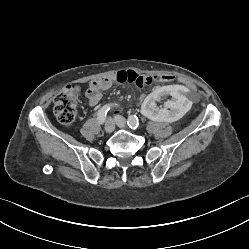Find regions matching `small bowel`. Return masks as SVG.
Masks as SVG:
<instances>
[{
    "label": "small bowel",
    "mask_w": 249,
    "mask_h": 249,
    "mask_svg": "<svg viewBox=\"0 0 249 249\" xmlns=\"http://www.w3.org/2000/svg\"><path fill=\"white\" fill-rule=\"evenodd\" d=\"M139 76V73L136 71H118L112 72L105 77L89 82L86 88L87 105L90 107L95 106L102 98L101 92L109 90L114 84L125 82L131 83L132 80L134 81L138 79ZM171 86L172 85L169 87Z\"/></svg>",
    "instance_id": "small-bowel-1"
}]
</instances>
